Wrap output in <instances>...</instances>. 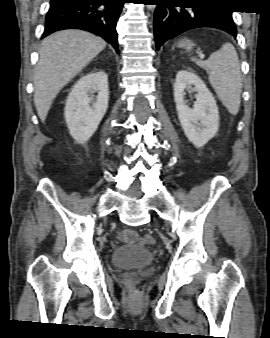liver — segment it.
<instances>
[{"label": "liver", "mask_w": 270, "mask_h": 338, "mask_svg": "<svg viewBox=\"0 0 270 338\" xmlns=\"http://www.w3.org/2000/svg\"><path fill=\"white\" fill-rule=\"evenodd\" d=\"M105 47L102 38L80 30L59 31L42 41L34 74V104L42 122L60 90Z\"/></svg>", "instance_id": "1"}]
</instances>
